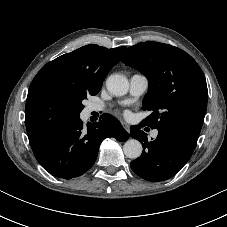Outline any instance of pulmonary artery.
I'll use <instances>...</instances> for the list:
<instances>
[{
    "label": "pulmonary artery",
    "instance_id": "pulmonary-artery-1",
    "mask_svg": "<svg viewBox=\"0 0 227 227\" xmlns=\"http://www.w3.org/2000/svg\"><path fill=\"white\" fill-rule=\"evenodd\" d=\"M148 88V79L142 74H134L129 79V92L134 97H139L146 92ZM93 111H101L103 107L100 105H93L91 107ZM157 131L152 132V136L156 137Z\"/></svg>",
    "mask_w": 227,
    "mask_h": 227
}]
</instances>
